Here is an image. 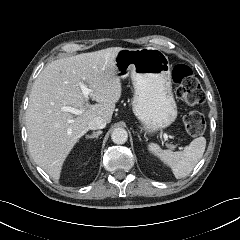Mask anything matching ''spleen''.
<instances>
[{
  "label": "spleen",
  "mask_w": 240,
  "mask_h": 240,
  "mask_svg": "<svg viewBox=\"0 0 240 240\" xmlns=\"http://www.w3.org/2000/svg\"><path fill=\"white\" fill-rule=\"evenodd\" d=\"M205 148L206 139L204 137L194 139L183 151L177 152L162 150L160 146L155 143L148 145V150L167 163L177 179L184 178L190 174L202 158Z\"/></svg>",
  "instance_id": "spleen-1"
}]
</instances>
